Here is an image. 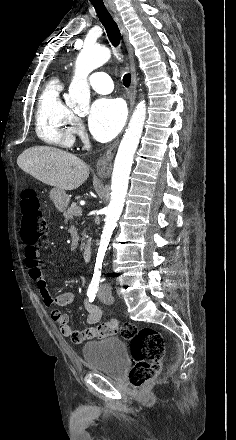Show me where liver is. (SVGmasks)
<instances>
[{
  "label": "liver",
  "instance_id": "1",
  "mask_svg": "<svg viewBox=\"0 0 236 440\" xmlns=\"http://www.w3.org/2000/svg\"><path fill=\"white\" fill-rule=\"evenodd\" d=\"M18 166L35 179L59 190H74L89 176V167L66 151L34 146L24 150L17 159Z\"/></svg>",
  "mask_w": 236,
  "mask_h": 440
}]
</instances>
